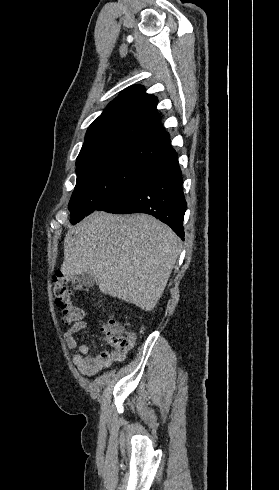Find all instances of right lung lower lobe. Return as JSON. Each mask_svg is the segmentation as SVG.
<instances>
[{
	"label": "right lung lower lobe",
	"mask_w": 279,
	"mask_h": 490,
	"mask_svg": "<svg viewBox=\"0 0 279 490\" xmlns=\"http://www.w3.org/2000/svg\"><path fill=\"white\" fill-rule=\"evenodd\" d=\"M155 164L150 174L113 192L96 210L115 214H150L170 226L184 240L183 218L187 202L178 155L174 150Z\"/></svg>",
	"instance_id": "1"
}]
</instances>
